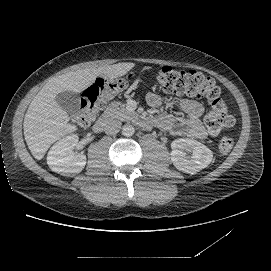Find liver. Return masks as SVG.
Instances as JSON below:
<instances>
[{"label": "liver", "mask_w": 271, "mask_h": 271, "mask_svg": "<svg viewBox=\"0 0 271 271\" xmlns=\"http://www.w3.org/2000/svg\"><path fill=\"white\" fill-rule=\"evenodd\" d=\"M134 66L130 62L117 63L70 71L51 78L33 98L24 117V137L33 157L41 160L54 142L77 130L75 125L68 123L69 115L57 103L58 94L66 91L81 93L97 77L115 79L126 75Z\"/></svg>", "instance_id": "6515ba94"}]
</instances>
